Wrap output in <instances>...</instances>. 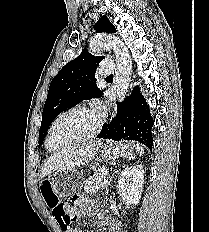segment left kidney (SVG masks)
Here are the masks:
<instances>
[{"label":"left kidney","instance_id":"1","mask_svg":"<svg viewBox=\"0 0 209 232\" xmlns=\"http://www.w3.org/2000/svg\"><path fill=\"white\" fill-rule=\"evenodd\" d=\"M144 172L138 166L125 168L118 181V193L127 205H136L142 193Z\"/></svg>","mask_w":209,"mask_h":232}]
</instances>
